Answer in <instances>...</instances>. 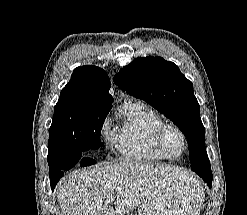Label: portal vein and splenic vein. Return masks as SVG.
Listing matches in <instances>:
<instances>
[{"label":"portal vein and splenic vein","instance_id":"1","mask_svg":"<svg viewBox=\"0 0 247 215\" xmlns=\"http://www.w3.org/2000/svg\"><path fill=\"white\" fill-rule=\"evenodd\" d=\"M115 199V197L113 195L109 196V200L113 201Z\"/></svg>","mask_w":247,"mask_h":215}]
</instances>
